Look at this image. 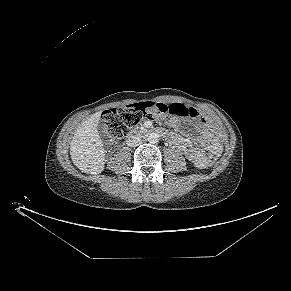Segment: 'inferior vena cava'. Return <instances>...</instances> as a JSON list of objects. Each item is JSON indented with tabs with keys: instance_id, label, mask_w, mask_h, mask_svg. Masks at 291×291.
<instances>
[{
	"instance_id": "602c4592",
	"label": "inferior vena cava",
	"mask_w": 291,
	"mask_h": 291,
	"mask_svg": "<svg viewBox=\"0 0 291 291\" xmlns=\"http://www.w3.org/2000/svg\"><path fill=\"white\" fill-rule=\"evenodd\" d=\"M141 143H142L141 138L138 136H135V135L130 136L126 141V144L129 147H136V146L140 145Z\"/></svg>"
}]
</instances>
